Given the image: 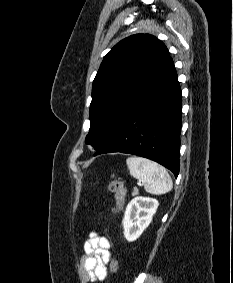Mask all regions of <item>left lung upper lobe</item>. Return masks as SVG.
I'll return each mask as SVG.
<instances>
[{
  "instance_id": "1",
  "label": "left lung upper lobe",
  "mask_w": 233,
  "mask_h": 283,
  "mask_svg": "<svg viewBox=\"0 0 233 283\" xmlns=\"http://www.w3.org/2000/svg\"><path fill=\"white\" fill-rule=\"evenodd\" d=\"M169 55L149 34L127 37L105 55L93 81L87 144L97 151L107 142Z\"/></svg>"
}]
</instances>
